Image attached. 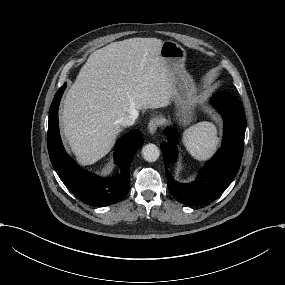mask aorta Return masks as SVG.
Returning a JSON list of instances; mask_svg holds the SVG:
<instances>
[{
    "label": "aorta",
    "mask_w": 285,
    "mask_h": 285,
    "mask_svg": "<svg viewBox=\"0 0 285 285\" xmlns=\"http://www.w3.org/2000/svg\"><path fill=\"white\" fill-rule=\"evenodd\" d=\"M142 156L148 162H155L160 156V150L155 144H147L142 149Z\"/></svg>",
    "instance_id": "aorta-1"
}]
</instances>
